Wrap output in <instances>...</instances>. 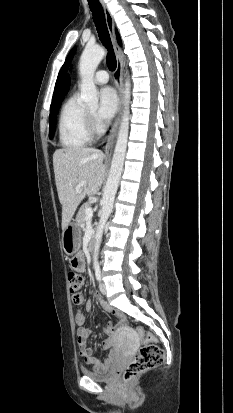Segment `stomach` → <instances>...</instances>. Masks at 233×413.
Segmentation results:
<instances>
[{
    "instance_id": "obj_1",
    "label": "stomach",
    "mask_w": 233,
    "mask_h": 413,
    "mask_svg": "<svg viewBox=\"0 0 233 413\" xmlns=\"http://www.w3.org/2000/svg\"><path fill=\"white\" fill-rule=\"evenodd\" d=\"M81 229L75 224H69L62 235V247L66 254L73 255L77 253L80 248Z\"/></svg>"
}]
</instances>
